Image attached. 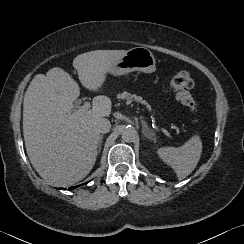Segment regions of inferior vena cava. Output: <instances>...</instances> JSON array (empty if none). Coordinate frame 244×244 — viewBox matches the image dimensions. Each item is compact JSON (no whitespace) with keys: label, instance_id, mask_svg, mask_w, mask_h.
Wrapping results in <instances>:
<instances>
[{"label":"inferior vena cava","instance_id":"obj_1","mask_svg":"<svg viewBox=\"0 0 244 244\" xmlns=\"http://www.w3.org/2000/svg\"><path fill=\"white\" fill-rule=\"evenodd\" d=\"M96 129L99 133H107L109 132L111 128V123L108 119L105 118H100L96 123H95Z\"/></svg>","mask_w":244,"mask_h":244}]
</instances>
